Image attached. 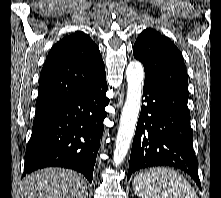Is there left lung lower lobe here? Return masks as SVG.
<instances>
[{
    "label": "left lung lower lobe",
    "instance_id": "1",
    "mask_svg": "<svg viewBox=\"0 0 221 198\" xmlns=\"http://www.w3.org/2000/svg\"><path fill=\"white\" fill-rule=\"evenodd\" d=\"M143 97L146 104L141 107L127 179L142 168L172 166L187 172L201 189L188 108L149 79Z\"/></svg>",
    "mask_w": 221,
    "mask_h": 198
}]
</instances>
